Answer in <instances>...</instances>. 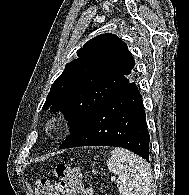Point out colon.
Listing matches in <instances>:
<instances>
[{
  "instance_id": "1",
  "label": "colon",
  "mask_w": 189,
  "mask_h": 195,
  "mask_svg": "<svg viewBox=\"0 0 189 195\" xmlns=\"http://www.w3.org/2000/svg\"><path fill=\"white\" fill-rule=\"evenodd\" d=\"M58 183L53 184L46 178L37 180L35 188L37 195H83L82 171L67 164L56 166Z\"/></svg>"
}]
</instances>
